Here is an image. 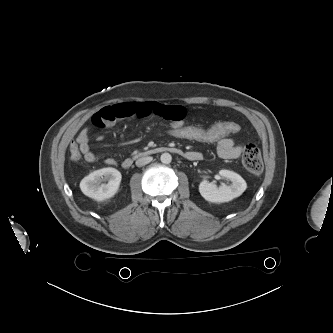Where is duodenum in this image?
Masks as SVG:
<instances>
[{"label": "duodenum", "mask_w": 333, "mask_h": 333, "mask_svg": "<svg viewBox=\"0 0 333 333\" xmlns=\"http://www.w3.org/2000/svg\"><path fill=\"white\" fill-rule=\"evenodd\" d=\"M163 152H169L173 154H178V155H184L188 159H196L197 155L193 153H183L179 148L177 147H172V146H158V147H153L150 149H147L139 154L141 157H148L152 155H157ZM133 165V159L132 158H126L122 162V167L125 169H129Z\"/></svg>", "instance_id": "1"}]
</instances>
